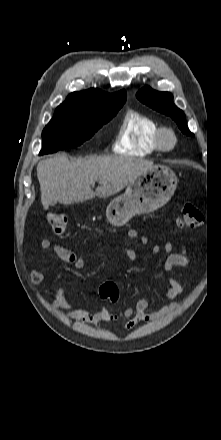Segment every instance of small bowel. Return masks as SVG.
I'll return each instance as SVG.
<instances>
[{
  "label": "small bowel",
  "instance_id": "obj_1",
  "mask_svg": "<svg viewBox=\"0 0 221 440\" xmlns=\"http://www.w3.org/2000/svg\"><path fill=\"white\" fill-rule=\"evenodd\" d=\"M128 237L131 240L139 241L141 244L148 242L147 237L141 236L136 229H130ZM40 245L42 249L53 250L62 261L73 264L77 269H84L87 265L86 258L82 254L75 253L66 247L53 243L51 240L43 239ZM163 250L167 254L164 262V270L167 274L168 281V288L164 290L163 295L166 299L170 300V303L160 310L149 312L150 302L147 299H140L134 306L124 310L113 311L107 307H102L96 312H90L83 307L70 304L67 300L64 286L56 288L51 306L56 309L64 310L66 317L70 320L85 322L96 327L101 323L114 321L122 317L127 319L122 325V328L129 330L141 322L160 319L178 307V298L184 292L183 286L172 276L174 268H184L190 264L184 248H182L181 252L175 253L172 252V244L165 242L163 244ZM122 251L130 262L133 263L136 260V252L132 248L124 246L122 247ZM160 251L161 247L157 244L151 248L153 254H158ZM30 276L37 283L42 282L44 278L42 272L35 268L31 269Z\"/></svg>",
  "mask_w": 221,
  "mask_h": 440
}]
</instances>
